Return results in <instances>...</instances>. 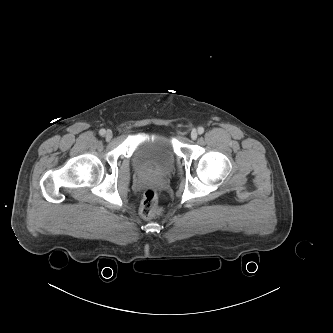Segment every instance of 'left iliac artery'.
Listing matches in <instances>:
<instances>
[{"instance_id":"obj_1","label":"left iliac artery","mask_w":333,"mask_h":333,"mask_svg":"<svg viewBox=\"0 0 333 333\" xmlns=\"http://www.w3.org/2000/svg\"><path fill=\"white\" fill-rule=\"evenodd\" d=\"M198 133L199 134H203L204 133V128L203 127H199L198 128Z\"/></svg>"}]
</instances>
